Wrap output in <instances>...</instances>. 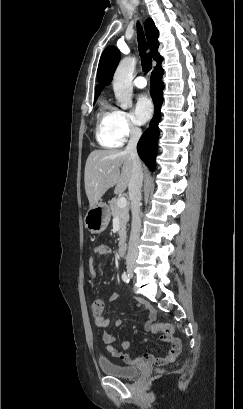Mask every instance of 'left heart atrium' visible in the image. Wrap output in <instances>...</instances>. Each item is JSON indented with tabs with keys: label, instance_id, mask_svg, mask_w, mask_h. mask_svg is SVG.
<instances>
[{
	"label": "left heart atrium",
	"instance_id": "39dd6f15",
	"mask_svg": "<svg viewBox=\"0 0 243 409\" xmlns=\"http://www.w3.org/2000/svg\"><path fill=\"white\" fill-rule=\"evenodd\" d=\"M153 112V106L150 98L146 94H139L136 97L134 109L132 112L133 120L136 124L146 123Z\"/></svg>",
	"mask_w": 243,
	"mask_h": 409
}]
</instances>
